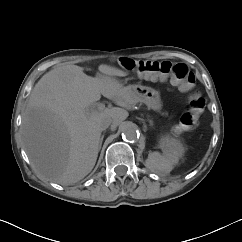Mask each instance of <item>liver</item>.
<instances>
[{
    "instance_id": "obj_1",
    "label": "liver",
    "mask_w": 242,
    "mask_h": 242,
    "mask_svg": "<svg viewBox=\"0 0 242 242\" xmlns=\"http://www.w3.org/2000/svg\"><path fill=\"white\" fill-rule=\"evenodd\" d=\"M96 77L77 65L46 73L33 88L22 117L25 150L36 172L63 184L76 183L93 169L99 152L100 120L112 117L116 128L138 101L115 76L127 73L100 65ZM101 95L118 106L87 114ZM115 128V129H116Z\"/></svg>"
}]
</instances>
